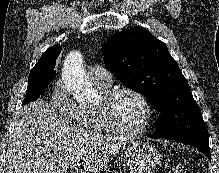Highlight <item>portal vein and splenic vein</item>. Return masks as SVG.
<instances>
[{
	"mask_svg": "<svg viewBox=\"0 0 219 173\" xmlns=\"http://www.w3.org/2000/svg\"><path fill=\"white\" fill-rule=\"evenodd\" d=\"M77 166H79V163L73 164V165H72V168H73V169H76Z\"/></svg>",
	"mask_w": 219,
	"mask_h": 173,
	"instance_id": "1",
	"label": "portal vein and splenic vein"
}]
</instances>
